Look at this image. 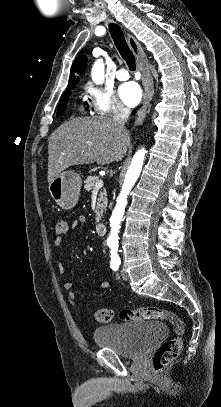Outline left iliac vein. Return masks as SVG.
I'll return each mask as SVG.
<instances>
[{"instance_id":"left-iliac-vein-1","label":"left iliac vein","mask_w":221,"mask_h":407,"mask_svg":"<svg viewBox=\"0 0 221 407\" xmlns=\"http://www.w3.org/2000/svg\"><path fill=\"white\" fill-rule=\"evenodd\" d=\"M121 277H122V279L124 280V281H128L129 280V275H128V273L126 272V270H122V272H121Z\"/></svg>"}]
</instances>
